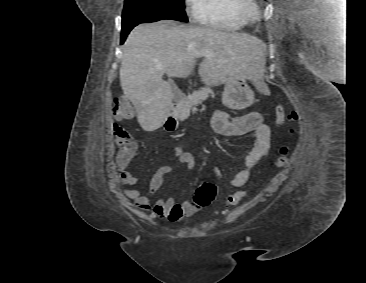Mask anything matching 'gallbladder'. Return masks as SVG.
I'll use <instances>...</instances> for the list:
<instances>
[{
    "mask_svg": "<svg viewBox=\"0 0 366 283\" xmlns=\"http://www.w3.org/2000/svg\"><path fill=\"white\" fill-rule=\"evenodd\" d=\"M174 97L179 98V92L177 89L174 88Z\"/></svg>",
    "mask_w": 366,
    "mask_h": 283,
    "instance_id": "obj_1",
    "label": "gallbladder"
}]
</instances>
